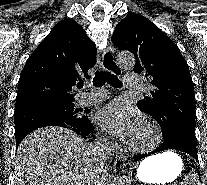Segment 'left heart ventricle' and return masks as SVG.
Here are the masks:
<instances>
[{
	"mask_svg": "<svg viewBox=\"0 0 207 185\" xmlns=\"http://www.w3.org/2000/svg\"><path fill=\"white\" fill-rule=\"evenodd\" d=\"M156 138L153 133L144 125L140 131L132 138L135 144L143 147L145 143Z\"/></svg>",
	"mask_w": 207,
	"mask_h": 185,
	"instance_id": "obj_1",
	"label": "left heart ventricle"
}]
</instances>
